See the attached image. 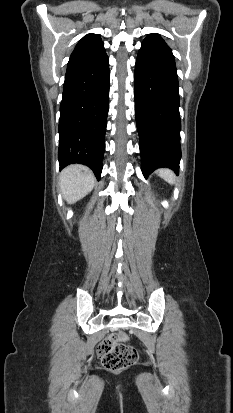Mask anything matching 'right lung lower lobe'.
<instances>
[{
    "instance_id": "1",
    "label": "right lung lower lobe",
    "mask_w": 233,
    "mask_h": 413,
    "mask_svg": "<svg viewBox=\"0 0 233 413\" xmlns=\"http://www.w3.org/2000/svg\"><path fill=\"white\" fill-rule=\"evenodd\" d=\"M109 80V60L102 42L72 52L60 105L58 159L61 169L80 163L100 178Z\"/></svg>"
}]
</instances>
